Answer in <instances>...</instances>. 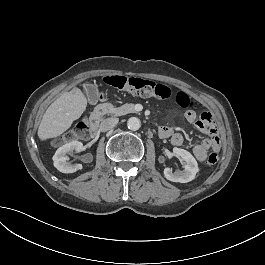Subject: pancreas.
<instances>
[{"label": "pancreas", "mask_w": 265, "mask_h": 265, "mask_svg": "<svg viewBox=\"0 0 265 265\" xmlns=\"http://www.w3.org/2000/svg\"><path fill=\"white\" fill-rule=\"evenodd\" d=\"M134 103H125L121 105L120 107H114L113 105H108V110L110 114H113L114 116H122L130 113H136L134 109Z\"/></svg>", "instance_id": "1"}]
</instances>
